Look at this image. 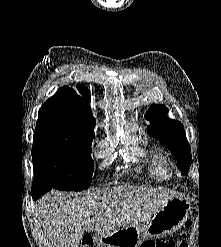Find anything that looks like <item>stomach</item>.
I'll use <instances>...</instances> for the list:
<instances>
[{
    "mask_svg": "<svg viewBox=\"0 0 221 247\" xmlns=\"http://www.w3.org/2000/svg\"><path fill=\"white\" fill-rule=\"evenodd\" d=\"M190 213V202L174 197L153 214L150 220L109 232H98L96 240L99 247H141L148 239L163 237L178 230Z\"/></svg>",
    "mask_w": 221,
    "mask_h": 247,
    "instance_id": "obj_1",
    "label": "stomach"
}]
</instances>
